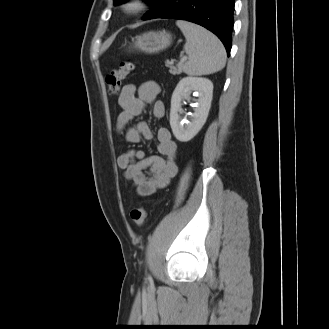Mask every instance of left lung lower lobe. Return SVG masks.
Returning <instances> with one entry per match:
<instances>
[{
  "instance_id": "obj_1",
  "label": "left lung lower lobe",
  "mask_w": 329,
  "mask_h": 329,
  "mask_svg": "<svg viewBox=\"0 0 329 329\" xmlns=\"http://www.w3.org/2000/svg\"><path fill=\"white\" fill-rule=\"evenodd\" d=\"M143 17L187 20L213 32L228 56L232 44L234 0H157Z\"/></svg>"
}]
</instances>
